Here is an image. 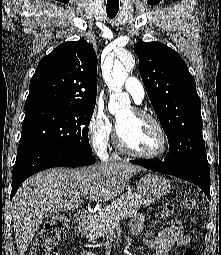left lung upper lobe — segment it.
<instances>
[{"label": "left lung upper lobe", "mask_w": 221, "mask_h": 255, "mask_svg": "<svg viewBox=\"0 0 221 255\" xmlns=\"http://www.w3.org/2000/svg\"><path fill=\"white\" fill-rule=\"evenodd\" d=\"M149 99L169 141L164 160L173 165L205 157L201 102L186 63L172 48L156 41L134 46Z\"/></svg>", "instance_id": "left-lung-upper-lobe-1"}]
</instances>
